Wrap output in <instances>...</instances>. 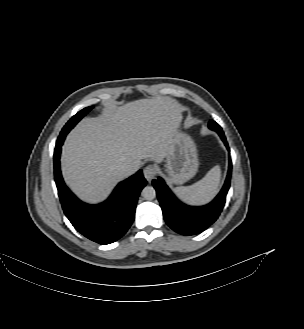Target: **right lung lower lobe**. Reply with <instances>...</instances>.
<instances>
[{
    "mask_svg": "<svg viewBox=\"0 0 304 329\" xmlns=\"http://www.w3.org/2000/svg\"><path fill=\"white\" fill-rule=\"evenodd\" d=\"M65 137H58L54 151L55 182L63 211L74 228L88 239L102 245L113 243L134 220L138 196L146 185L142 171L119 183L105 202L86 204L67 188L61 175L60 153Z\"/></svg>",
    "mask_w": 304,
    "mask_h": 329,
    "instance_id": "1",
    "label": "right lung lower lobe"
}]
</instances>
